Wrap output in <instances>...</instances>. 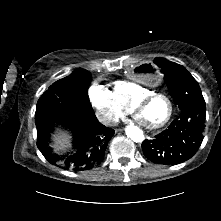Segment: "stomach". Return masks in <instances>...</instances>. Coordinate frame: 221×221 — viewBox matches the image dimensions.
<instances>
[{"mask_svg":"<svg viewBox=\"0 0 221 221\" xmlns=\"http://www.w3.org/2000/svg\"><path fill=\"white\" fill-rule=\"evenodd\" d=\"M164 72L165 67L162 62L158 60L151 62L140 60L130 68L128 77L135 84L143 83L148 87H153L158 84Z\"/></svg>","mask_w":221,"mask_h":221,"instance_id":"obj_1","label":"stomach"}]
</instances>
